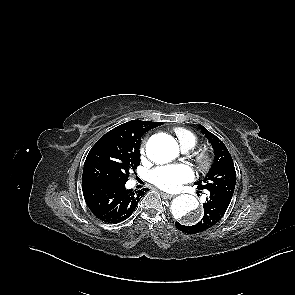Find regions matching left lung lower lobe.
I'll use <instances>...</instances> for the list:
<instances>
[{"label":"left lung lower lobe","mask_w":295,"mask_h":295,"mask_svg":"<svg viewBox=\"0 0 295 295\" xmlns=\"http://www.w3.org/2000/svg\"><path fill=\"white\" fill-rule=\"evenodd\" d=\"M231 199L232 197L224 194L209 193L206 202L203 204L204 216L201 221L192 226H185L176 222L177 229L185 233L196 234L213 227L225 214Z\"/></svg>","instance_id":"0a47b994"}]
</instances>
